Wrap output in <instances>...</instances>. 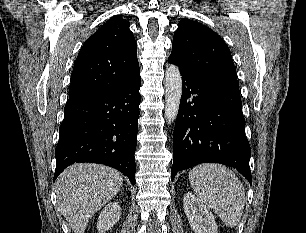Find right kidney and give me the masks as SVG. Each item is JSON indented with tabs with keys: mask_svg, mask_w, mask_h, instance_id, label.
<instances>
[{
	"mask_svg": "<svg viewBox=\"0 0 306 233\" xmlns=\"http://www.w3.org/2000/svg\"><path fill=\"white\" fill-rule=\"evenodd\" d=\"M121 207L117 202H111L101 211L98 221L97 229L99 233H105L113 227L120 219Z\"/></svg>",
	"mask_w": 306,
	"mask_h": 233,
	"instance_id": "ca27d5eb",
	"label": "right kidney"
}]
</instances>
